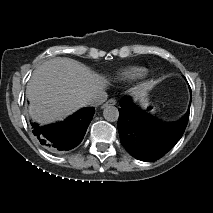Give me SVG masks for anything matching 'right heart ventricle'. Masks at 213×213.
I'll use <instances>...</instances> for the list:
<instances>
[{
  "mask_svg": "<svg viewBox=\"0 0 213 213\" xmlns=\"http://www.w3.org/2000/svg\"><path fill=\"white\" fill-rule=\"evenodd\" d=\"M146 70L139 66H130L127 68L122 69L118 76L119 79L125 80V81H132L138 78H141L145 75Z\"/></svg>",
  "mask_w": 213,
  "mask_h": 213,
  "instance_id": "1",
  "label": "right heart ventricle"
}]
</instances>
